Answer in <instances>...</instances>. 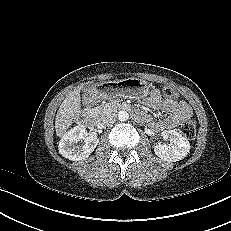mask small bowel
Returning <instances> with one entry per match:
<instances>
[{"mask_svg":"<svg viewBox=\"0 0 231 231\" xmlns=\"http://www.w3.org/2000/svg\"><path fill=\"white\" fill-rule=\"evenodd\" d=\"M146 104L154 110H162L168 114L160 120H154L151 116L144 117V120L157 131L172 129L181 120L192 116L191 108L186 102L177 101L176 99H163L158 89L150 92L146 99Z\"/></svg>","mask_w":231,"mask_h":231,"instance_id":"c3829d8e","label":"small bowel"}]
</instances>
